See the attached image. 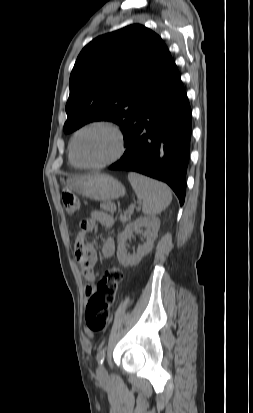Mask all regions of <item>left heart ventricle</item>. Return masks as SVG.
<instances>
[{
    "label": "left heart ventricle",
    "mask_w": 253,
    "mask_h": 413,
    "mask_svg": "<svg viewBox=\"0 0 253 413\" xmlns=\"http://www.w3.org/2000/svg\"><path fill=\"white\" fill-rule=\"evenodd\" d=\"M115 148V138L110 131L92 128L77 137L74 153L80 163L95 164L111 156Z\"/></svg>",
    "instance_id": "1"
}]
</instances>
